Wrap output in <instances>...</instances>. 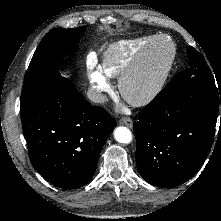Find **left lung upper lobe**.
<instances>
[{"mask_svg":"<svg viewBox=\"0 0 221 221\" xmlns=\"http://www.w3.org/2000/svg\"><path fill=\"white\" fill-rule=\"evenodd\" d=\"M187 58L190 65L189 69L176 74L168 85L174 83H186L194 77L214 80L213 74L205 62L204 57L193 47L187 48Z\"/></svg>","mask_w":221,"mask_h":221,"instance_id":"5c2ea615","label":"left lung upper lobe"}]
</instances>
